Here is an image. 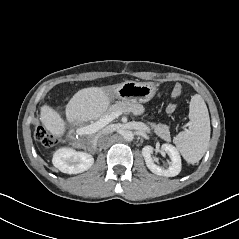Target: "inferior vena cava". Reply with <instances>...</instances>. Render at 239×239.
Masks as SVG:
<instances>
[{
  "instance_id": "obj_1",
  "label": "inferior vena cava",
  "mask_w": 239,
  "mask_h": 239,
  "mask_svg": "<svg viewBox=\"0 0 239 239\" xmlns=\"http://www.w3.org/2000/svg\"><path fill=\"white\" fill-rule=\"evenodd\" d=\"M109 133H111L109 128L103 129L95 136L94 143L101 142Z\"/></svg>"
}]
</instances>
